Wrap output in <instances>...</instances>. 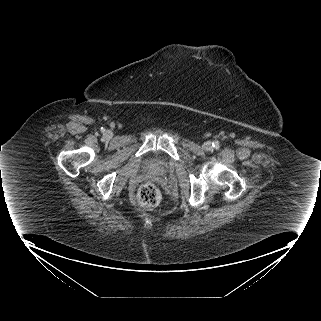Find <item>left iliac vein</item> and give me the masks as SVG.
Returning <instances> with one entry per match:
<instances>
[{"mask_svg":"<svg viewBox=\"0 0 321 321\" xmlns=\"http://www.w3.org/2000/svg\"><path fill=\"white\" fill-rule=\"evenodd\" d=\"M203 147L206 150H210L212 148V144L210 142H206V143H204Z\"/></svg>","mask_w":321,"mask_h":321,"instance_id":"4c4485c4","label":"left iliac vein"}]
</instances>
